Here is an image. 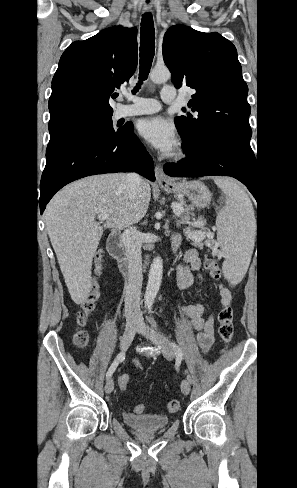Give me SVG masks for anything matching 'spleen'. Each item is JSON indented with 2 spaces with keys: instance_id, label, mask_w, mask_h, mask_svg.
<instances>
[{
  "instance_id": "spleen-1",
  "label": "spleen",
  "mask_w": 297,
  "mask_h": 488,
  "mask_svg": "<svg viewBox=\"0 0 297 488\" xmlns=\"http://www.w3.org/2000/svg\"><path fill=\"white\" fill-rule=\"evenodd\" d=\"M226 195L225 206L216 218L217 239L224 252V277L238 284L246 274L254 249L256 220L247 193L230 178H215Z\"/></svg>"
}]
</instances>
